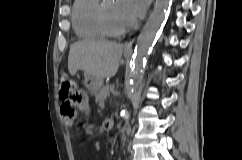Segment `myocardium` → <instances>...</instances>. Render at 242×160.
<instances>
[{"mask_svg":"<svg viewBox=\"0 0 242 160\" xmlns=\"http://www.w3.org/2000/svg\"><path fill=\"white\" fill-rule=\"evenodd\" d=\"M105 0H101L97 7H96V11H95V19H96V23L98 28L100 29L101 33L106 36V37H110V38H117V37H121L124 34H126L129 30V26L121 29V30H113L111 29L105 20V16H104V10H103V2Z\"/></svg>","mask_w":242,"mask_h":160,"instance_id":"1","label":"myocardium"}]
</instances>
